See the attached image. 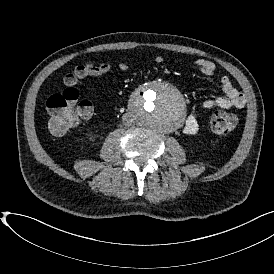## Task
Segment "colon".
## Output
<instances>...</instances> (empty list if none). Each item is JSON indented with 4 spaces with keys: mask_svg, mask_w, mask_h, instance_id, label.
<instances>
[{
    "mask_svg": "<svg viewBox=\"0 0 274 274\" xmlns=\"http://www.w3.org/2000/svg\"><path fill=\"white\" fill-rule=\"evenodd\" d=\"M87 73L95 71L94 65H81ZM63 93L52 94L47 100V109L52 115L49 130L54 136H62L78 125L82 120L89 119L93 114V106L88 100H79L78 87L64 84ZM237 125V117L233 113L216 111L211 118V129L219 136L229 135Z\"/></svg>",
    "mask_w": 274,
    "mask_h": 274,
    "instance_id": "5ec220e1",
    "label": "colon"
}]
</instances>
